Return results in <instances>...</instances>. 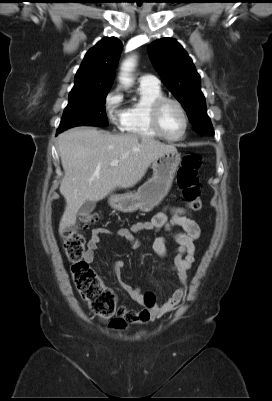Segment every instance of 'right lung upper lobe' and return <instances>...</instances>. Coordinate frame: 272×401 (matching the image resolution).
<instances>
[{
	"instance_id": "cb5924a9",
	"label": "right lung upper lobe",
	"mask_w": 272,
	"mask_h": 401,
	"mask_svg": "<svg viewBox=\"0 0 272 401\" xmlns=\"http://www.w3.org/2000/svg\"><path fill=\"white\" fill-rule=\"evenodd\" d=\"M122 42L115 37L103 38L85 55L69 96L85 91L111 88Z\"/></svg>"
}]
</instances>
